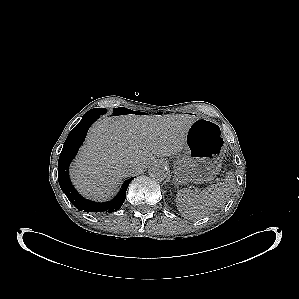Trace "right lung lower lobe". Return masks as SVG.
Listing matches in <instances>:
<instances>
[{
	"mask_svg": "<svg viewBox=\"0 0 299 299\" xmlns=\"http://www.w3.org/2000/svg\"><path fill=\"white\" fill-rule=\"evenodd\" d=\"M99 116V114L83 116L79 124L69 133L58 161V180L62 191L66 194L71 203L80 211L114 212L119 210L124 203L127 188L134 177L125 181L117 196L111 201L105 203H97L83 198L75 190L69 178L70 162L76 156L79 147L82 145L86 137L88 129L99 118Z\"/></svg>",
	"mask_w": 299,
	"mask_h": 299,
	"instance_id": "right-lung-lower-lobe-1",
	"label": "right lung lower lobe"
}]
</instances>
